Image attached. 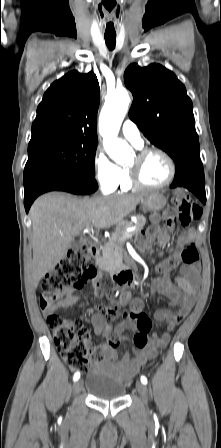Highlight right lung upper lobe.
Masks as SVG:
<instances>
[{
	"label": "right lung upper lobe",
	"instance_id": "1",
	"mask_svg": "<svg viewBox=\"0 0 221 448\" xmlns=\"http://www.w3.org/2000/svg\"><path fill=\"white\" fill-rule=\"evenodd\" d=\"M100 89L91 71H71L45 92L32 124L28 148L72 139H97Z\"/></svg>",
	"mask_w": 221,
	"mask_h": 448
}]
</instances>
